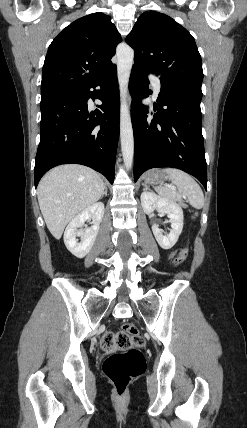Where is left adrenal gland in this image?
<instances>
[{
    "label": "left adrenal gland",
    "instance_id": "a2214340",
    "mask_svg": "<svg viewBox=\"0 0 247 428\" xmlns=\"http://www.w3.org/2000/svg\"><path fill=\"white\" fill-rule=\"evenodd\" d=\"M142 185L144 186V190L149 189V187L145 183H143Z\"/></svg>",
    "mask_w": 247,
    "mask_h": 428
}]
</instances>
